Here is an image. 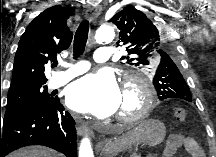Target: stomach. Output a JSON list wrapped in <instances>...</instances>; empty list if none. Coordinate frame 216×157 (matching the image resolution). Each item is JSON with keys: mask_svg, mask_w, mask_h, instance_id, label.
Wrapping results in <instances>:
<instances>
[{"mask_svg": "<svg viewBox=\"0 0 216 157\" xmlns=\"http://www.w3.org/2000/svg\"><path fill=\"white\" fill-rule=\"evenodd\" d=\"M165 134L166 128L162 122L154 119L144 120L121 138L110 141L105 154L122 149L130 143H144L149 146H156L163 141Z\"/></svg>", "mask_w": 216, "mask_h": 157, "instance_id": "1", "label": "stomach"}]
</instances>
